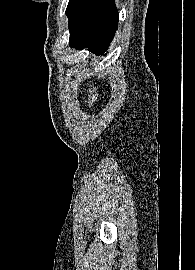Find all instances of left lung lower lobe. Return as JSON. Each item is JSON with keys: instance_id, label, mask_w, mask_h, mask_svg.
Returning a JSON list of instances; mask_svg holds the SVG:
<instances>
[{"instance_id": "1", "label": "left lung lower lobe", "mask_w": 195, "mask_h": 270, "mask_svg": "<svg viewBox=\"0 0 195 270\" xmlns=\"http://www.w3.org/2000/svg\"><path fill=\"white\" fill-rule=\"evenodd\" d=\"M117 25L115 0H84L69 24V44L77 49L88 47L102 55L112 41Z\"/></svg>"}]
</instances>
